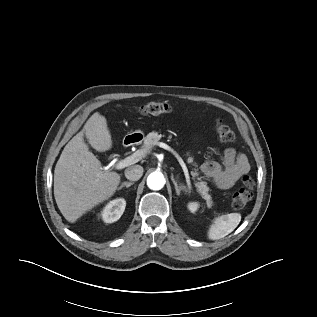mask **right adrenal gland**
I'll use <instances>...</instances> for the list:
<instances>
[{
  "label": "right adrenal gland",
  "mask_w": 317,
  "mask_h": 317,
  "mask_svg": "<svg viewBox=\"0 0 317 317\" xmlns=\"http://www.w3.org/2000/svg\"><path fill=\"white\" fill-rule=\"evenodd\" d=\"M133 184H134L133 182H124L121 184V186L118 188V190H121L123 187L129 188Z\"/></svg>",
  "instance_id": "2a0ac1e0"
}]
</instances>
